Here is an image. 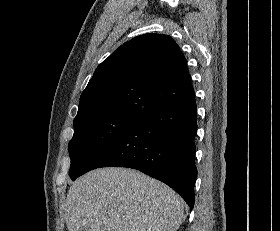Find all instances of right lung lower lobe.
I'll use <instances>...</instances> for the list:
<instances>
[{
    "mask_svg": "<svg viewBox=\"0 0 280 231\" xmlns=\"http://www.w3.org/2000/svg\"><path fill=\"white\" fill-rule=\"evenodd\" d=\"M196 131L195 97L187 102L167 105L127 130L79 176L100 167L137 169L169 185L192 210L197 177L194 162Z\"/></svg>",
    "mask_w": 280,
    "mask_h": 231,
    "instance_id": "1",
    "label": "right lung lower lobe"
}]
</instances>
